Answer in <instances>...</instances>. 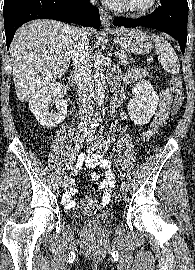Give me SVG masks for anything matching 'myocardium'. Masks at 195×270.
Wrapping results in <instances>:
<instances>
[{"label": "myocardium", "mask_w": 195, "mask_h": 270, "mask_svg": "<svg viewBox=\"0 0 195 270\" xmlns=\"http://www.w3.org/2000/svg\"><path fill=\"white\" fill-rule=\"evenodd\" d=\"M116 9L120 11H127L133 14H146L152 11L158 4V0H150L148 4L144 6H133L126 2L125 0H115Z\"/></svg>", "instance_id": "obj_1"}]
</instances>
